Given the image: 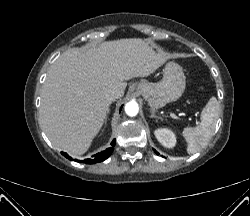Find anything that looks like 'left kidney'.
Listing matches in <instances>:
<instances>
[{
	"mask_svg": "<svg viewBox=\"0 0 250 216\" xmlns=\"http://www.w3.org/2000/svg\"><path fill=\"white\" fill-rule=\"evenodd\" d=\"M157 140L167 148H173L176 144V137L174 133L166 128L156 129L154 132Z\"/></svg>",
	"mask_w": 250,
	"mask_h": 216,
	"instance_id": "5707ae66",
	"label": "left kidney"
}]
</instances>
